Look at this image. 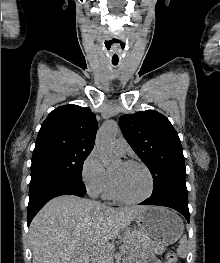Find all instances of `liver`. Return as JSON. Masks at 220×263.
<instances>
[{
	"label": "liver",
	"mask_w": 220,
	"mask_h": 263,
	"mask_svg": "<svg viewBox=\"0 0 220 263\" xmlns=\"http://www.w3.org/2000/svg\"><path fill=\"white\" fill-rule=\"evenodd\" d=\"M146 208H113L73 195L53 198L30 225L33 263H91L89 252L99 259Z\"/></svg>",
	"instance_id": "6515ba94"
}]
</instances>
